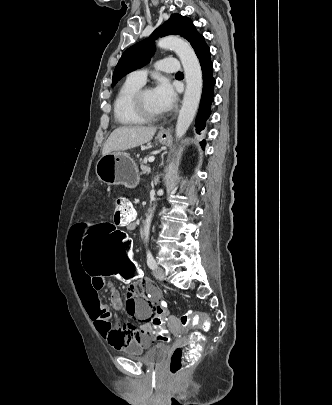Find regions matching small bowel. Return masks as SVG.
Masks as SVG:
<instances>
[{
    "instance_id": "1",
    "label": "small bowel",
    "mask_w": 332,
    "mask_h": 405,
    "mask_svg": "<svg viewBox=\"0 0 332 405\" xmlns=\"http://www.w3.org/2000/svg\"><path fill=\"white\" fill-rule=\"evenodd\" d=\"M119 224H127L120 220ZM83 240L82 222L73 225L67 242V258L70 272L80 300L92 319L100 336L114 349H124L126 353H148L149 347L157 346L151 317L158 310L161 300L160 288H149L150 281L132 282L131 291L124 302L115 288H110V308L128 311L140 320V325L116 327L111 322V310L105 305L99 293L107 286L104 275H87L80 261L81 242Z\"/></svg>"
}]
</instances>
